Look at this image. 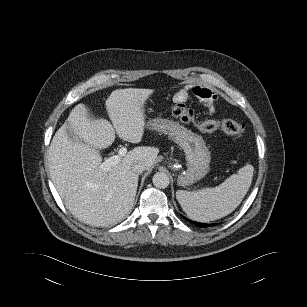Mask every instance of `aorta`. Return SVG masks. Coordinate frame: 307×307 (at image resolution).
Masks as SVG:
<instances>
[{"label":"aorta","mask_w":307,"mask_h":307,"mask_svg":"<svg viewBox=\"0 0 307 307\" xmlns=\"http://www.w3.org/2000/svg\"><path fill=\"white\" fill-rule=\"evenodd\" d=\"M152 181L156 188L164 189L169 186L170 178L164 172H157L154 174Z\"/></svg>","instance_id":"obj_1"}]
</instances>
